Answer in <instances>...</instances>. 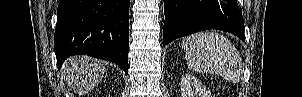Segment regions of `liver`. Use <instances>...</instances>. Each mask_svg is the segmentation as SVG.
I'll return each mask as SVG.
<instances>
[{
  "mask_svg": "<svg viewBox=\"0 0 302 97\" xmlns=\"http://www.w3.org/2000/svg\"><path fill=\"white\" fill-rule=\"evenodd\" d=\"M62 73L68 86L78 95H84L102 81L105 64L87 56L71 57L63 64Z\"/></svg>",
  "mask_w": 302,
  "mask_h": 97,
  "instance_id": "obj_1",
  "label": "liver"
}]
</instances>
